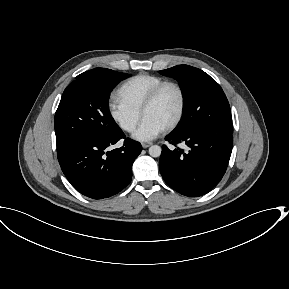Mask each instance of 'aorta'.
<instances>
[{
	"label": "aorta",
	"instance_id": "1",
	"mask_svg": "<svg viewBox=\"0 0 289 289\" xmlns=\"http://www.w3.org/2000/svg\"><path fill=\"white\" fill-rule=\"evenodd\" d=\"M162 149L158 145H152L149 148V155L152 157H159L161 155Z\"/></svg>",
	"mask_w": 289,
	"mask_h": 289
}]
</instances>
